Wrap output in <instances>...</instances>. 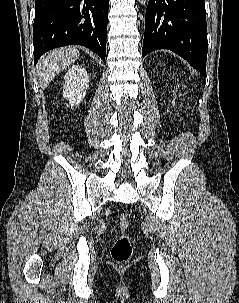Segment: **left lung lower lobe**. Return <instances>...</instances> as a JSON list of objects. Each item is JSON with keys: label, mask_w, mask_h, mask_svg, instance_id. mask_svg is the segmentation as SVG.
<instances>
[{"label": "left lung lower lobe", "mask_w": 239, "mask_h": 303, "mask_svg": "<svg viewBox=\"0 0 239 303\" xmlns=\"http://www.w3.org/2000/svg\"><path fill=\"white\" fill-rule=\"evenodd\" d=\"M206 32L204 0H149L142 56L169 49L206 77Z\"/></svg>", "instance_id": "obj_1"}]
</instances>
